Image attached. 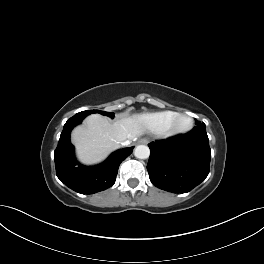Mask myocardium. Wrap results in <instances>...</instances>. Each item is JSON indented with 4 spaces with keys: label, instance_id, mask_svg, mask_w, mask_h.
Wrapping results in <instances>:
<instances>
[{
    "label": "myocardium",
    "instance_id": "myocardium-1",
    "mask_svg": "<svg viewBox=\"0 0 264 264\" xmlns=\"http://www.w3.org/2000/svg\"><path fill=\"white\" fill-rule=\"evenodd\" d=\"M181 118H185L188 121L187 125L181 127L177 124L178 120ZM192 127H193V119L189 115L185 113H177L173 117L169 126L165 129L164 133L165 135L168 136L182 135L189 132L192 129Z\"/></svg>",
    "mask_w": 264,
    "mask_h": 264
}]
</instances>
